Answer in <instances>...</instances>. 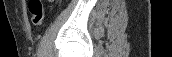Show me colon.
<instances>
[{"instance_id": "colon-1", "label": "colon", "mask_w": 172, "mask_h": 57, "mask_svg": "<svg viewBox=\"0 0 172 57\" xmlns=\"http://www.w3.org/2000/svg\"><path fill=\"white\" fill-rule=\"evenodd\" d=\"M30 18L34 25H41L45 18V12L40 0H31L29 5Z\"/></svg>"}]
</instances>
